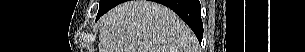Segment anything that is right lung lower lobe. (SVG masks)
<instances>
[{"instance_id":"1","label":"right lung lower lobe","mask_w":305,"mask_h":52,"mask_svg":"<svg viewBox=\"0 0 305 52\" xmlns=\"http://www.w3.org/2000/svg\"><path fill=\"white\" fill-rule=\"evenodd\" d=\"M171 8L194 31L199 42L203 37V24L201 20V6L199 0H154ZM124 2V0H109L107 5L98 11L97 19L108 10Z\"/></svg>"}]
</instances>
